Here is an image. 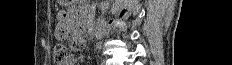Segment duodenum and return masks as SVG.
I'll use <instances>...</instances> for the list:
<instances>
[{
	"label": "duodenum",
	"mask_w": 232,
	"mask_h": 65,
	"mask_svg": "<svg viewBox=\"0 0 232 65\" xmlns=\"http://www.w3.org/2000/svg\"><path fill=\"white\" fill-rule=\"evenodd\" d=\"M78 38L79 40L83 38L84 34H85V29H86V24H85V20L84 19H80L78 21Z\"/></svg>",
	"instance_id": "1"
}]
</instances>
